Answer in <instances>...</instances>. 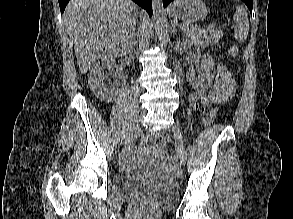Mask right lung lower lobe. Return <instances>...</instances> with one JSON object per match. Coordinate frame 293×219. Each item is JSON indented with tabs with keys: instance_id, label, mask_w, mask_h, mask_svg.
<instances>
[{
	"instance_id": "98d812e1",
	"label": "right lung lower lobe",
	"mask_w": 293,
	"mask_h": 219,
	"mask_svg": "<svg viewBox=\"0 0 293 219\" xmlns=\"http://www.w3.org/2000/svg\"><path fill=\"white\" fill-rule=\"evenodd\" d=\"M61 13L64 12L66 4L69 2V0H58ZM135 3H137L140 7L145 9L148 14L152 15V0H133Z\"/></svg>"
}]
</instances>
